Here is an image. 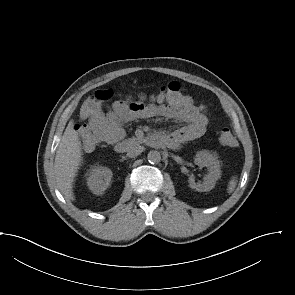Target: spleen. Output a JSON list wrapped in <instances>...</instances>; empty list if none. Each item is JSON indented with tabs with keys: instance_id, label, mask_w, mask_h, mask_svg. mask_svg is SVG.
<instances>
[{
	"instance_id": "1",
	"label": "spleen",
	"mask_w": 295,
	"mask_h": 295,
	"mask_svg": "<svg viewBox=\"0 0 295 295\" xmlns=\"http://www.w3.org/2000/svg\"><path fill=\"white\" fill-rule=\"evenodd\" d=\"M237 182H238L237 176H232L228 183V188H227L228 193H232L235 190L237 186Z\"/></svg>"
}]
</instances>
